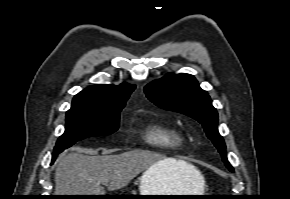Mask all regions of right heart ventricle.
<instances>
[{
    "instance_id": "obj_1",
    "label": "right heart ventricle",
    "mask_w": 290,
    "mask_h": 199,
    "mask_svg": "<svg viewBox=\"0 0 290 199\" xmlns=\"http://www.w3.org/2000/svg\"><path fill=\"white\" fill-rule=\"evenodd\" d=\"M143 132L149 143L162 148L178 147L184 143V138L178 129L157 121L148 122Z\"/></svg>"
}]
</instances>
